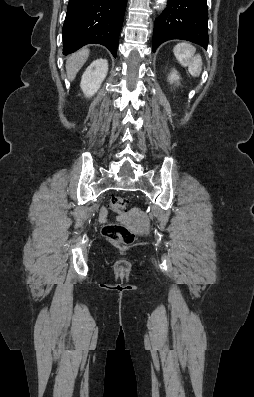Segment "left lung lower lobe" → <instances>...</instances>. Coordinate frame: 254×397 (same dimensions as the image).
Here are the masks:
<instances>
[{
	"label": "left lung lower lobe",
	"instance_id": "obj_1",
	"mask_svg": "<svg viewBox=\"0 0 254 397\" xmlns=\"http://www.w3.org/2000/svg\"><path fill=\"white\" fill-rule=\"evenodd\" d=\"M207 22L206 0H168L166 9L155 21L153 52L171 39L189 40L207 49Z\"/></svg>",
	"mask_w": 254,
	"mask_h": 397
}]
</instances>
